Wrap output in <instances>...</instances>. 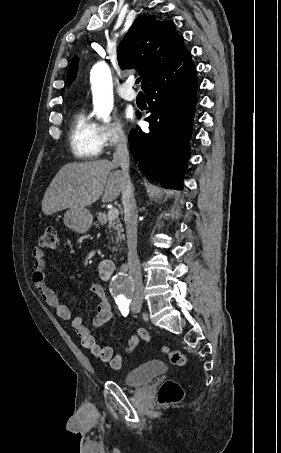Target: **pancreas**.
I'll return each mask as SVG.
<instances>
[{
  "mask_svg": "<svg viewBox=\"0 0 281 453\" xmlns=\"http://www.w3.org/2000/svg\"><path fill=\"white\" fill-rule=\"evenodd\" d=\"M96 214H97L96 222H101V224H106V222H109L108 229L110 233L116 235L117 241H123L125 235H122L124 229L120 222V218H115V220H108V218H106L105 212H96ZM111 239H113V237H111Z\"/></svg>",
  "mask_w": 281,
  "mask_h": 453,
  "instance_id": "pancreas-1",
  "label": "pancreas"
}]
</instances>
